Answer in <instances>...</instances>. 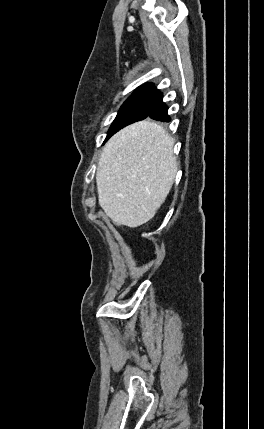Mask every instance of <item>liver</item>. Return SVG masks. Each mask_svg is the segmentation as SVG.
Masks as SVG:
<instances>
[{"label": "liver", "instance_id": "liver-1", "mask_svg": "<svg viewBox=\"0 0 264 429\" xmlns=\"http://www.w3.org/2000/svg\"><path fill=\"white\" fill-rule=\"evenodd\" d=\"M173 146L169 133L149 120L123 128L106 143L96 184L99 205L114 223L135 228L154 217L178 170Z\"/></svg>", "mask_w": 264, "mask_h": 429}]
</instances>
